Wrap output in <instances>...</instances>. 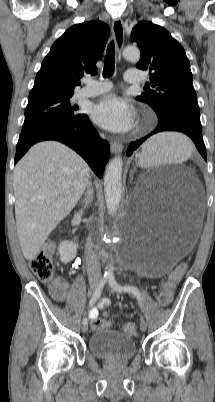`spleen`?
Returning <instances> with one entry per match:
<instances>
[{
  "label": "spleen",
  "mask_w": 215,
  "mask_h": 402,
  "mask_svg": "<svg viewBox=\"0 0 215 402\" xmlns=\"http://www.w3.org/2000/svg\"><path fill=\"white\" fill-rule=\"evenodd\" d=\"M190 143L180 134L166 133L155 136L142 146L141 162L153 166L167 162H181L190 156Z\"/></svg>",
  "instance_id": "1"
}]
</instances>
